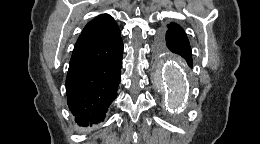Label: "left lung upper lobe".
<instances>
[{
	"label": "left lung upper lobe",
	"mask_w": 260,
	"mask_h": 144,
	"mask_svg": "<svg viewBox=\"0 0 260 144\" xmlns=\"http://www.w3.org/2000/svg\"><path fill=\"white\" fill-rule=\"evenodd\" d=\"M168 30L167 31H179V32H184V30L179 26L177 25L176 23H170L168 26ZM185 33V32H184ZM160 48L162 50H167V46L166 44H163V43H160Z\"/></svg>",
	"instance_id": "5c2ea615"
}]
</instances>
